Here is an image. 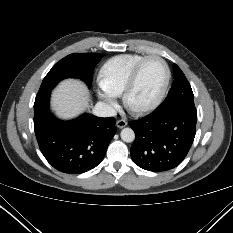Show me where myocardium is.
<instances>
[{
    "label": "myocardium",
    "mask_w": 233,
    "mask_h": 233,
    "mask_svg": "<svg viewBox=\"0 0 233 233\" xmlns=\"http://www.w3.org/2000/svg\"><path fill=\"white\" fill-rule=\"evenodd\" d=\"M150 59H157L163 64L164 69H165L164 84L162 86L160 93L157 95V97L152 102L144 106L136 107L131 104L130 97L137 84L138 76H139L142 66L144 65L145 62H147ZM170 78H171L170 68L167 62L162 57L158 55H154V54L143 57L132 69L129 75L128 81L126 83V86L122 92L123 103L125 107L127 108V110L136 115L147 114L155 110L162 103V101L164 100L167 94L168 87L170 84Z\"/></svg>",
    "instance_id": "f54148a6"
}]
</instances>
